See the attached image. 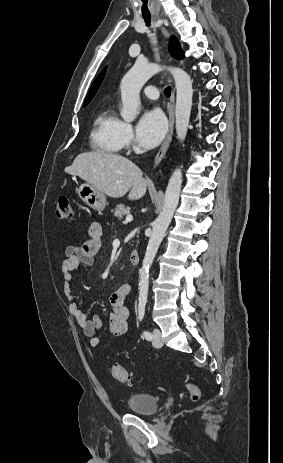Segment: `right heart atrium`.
<instances>
[{
    "label": "right heart atrium",
    "mask_w": 283,
    "mask_h": 463,
    "mask_svg": "<svg viewBox=\"0 0 283 463\" xmlns=\"http://www.w3.org/2000/svg\"><path fill=\"white\" fill-rule=\"evenodd\" d=\"M120 137L123 146L128 147L131 145L133 141V130L132 126L129 123L122 122L120 129Z\"/></svg>",
    "instance_id": "d8ad5b80"
}]
</instances>
